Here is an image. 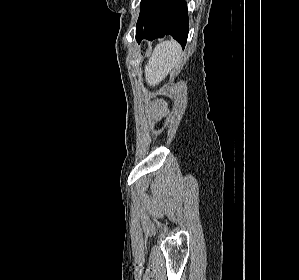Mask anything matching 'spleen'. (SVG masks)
<instances>
[{"mask_svg": "<svg viewBox=\"0 0 299 280\" xmlns=\"http://www.w3.org/2000/svg\"><path fill=\"white\" fill-rule=\"evenodd\" d=\"M181 61L182 49L176 41H164L158 44L145 66L148 84L150 86L159 84Z\"/></svg>", "mask_w": 299, "mask_h": 280, "instance_id": "3e777b00", "label": "spleen"}]
</instances>
